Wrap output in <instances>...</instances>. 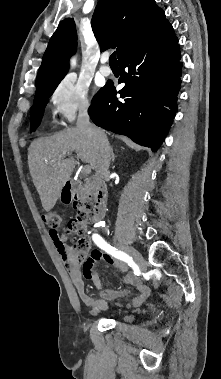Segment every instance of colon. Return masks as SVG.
I'll list each match as a JSON object with an SVG mask.
<instances>
[{
	"label": "colon",
	"mask_w": 221,
	"mask_h": 379,
	"mask_svg": "<svg viewBox=\"0 0 221 379\" xmlns=\"http://www.w3.org/2000/svg\"><path fill=\"white\" fill-rule=\"evenodd\" d=\"M76 210L75 217L69 223V232L78 237L74 248L78 252L77 259L79 263L85 264L86 252L88 249V240L85 237L88 224L92 220L90 197L84 196L73 202ZM42 219L48 226L50 234H57L61 226V217L57 212H47L43 214Z\"/></svg>",
	"instance_id": "5ec220e1"
}]
</instances>
